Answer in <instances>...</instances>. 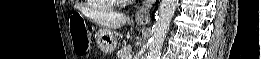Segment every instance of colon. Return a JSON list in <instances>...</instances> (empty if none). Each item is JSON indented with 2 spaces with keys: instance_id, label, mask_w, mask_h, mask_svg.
I'll return each instance as SVG.
<instances>
[{
  "instance_id": "obj_1",
  "label": "colon",
  "mask_w": 261,
  "mask_h": 59,
  "mask_svg": "<svg viewBox=\"0 0 261 59\" xmlns=\"http://www.w3.org/2000/svg\"><path fill=\"white\" fill-rule=\"evenodd\" d=\"M74 49L78 54H84L87 51L89 37L87 31L74 23L71 25Z\"/></svg>"
}]
</instances>
